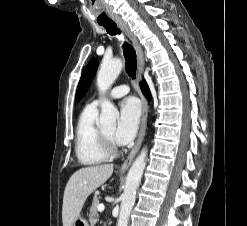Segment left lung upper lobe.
<instances>
[{"mask_svg":"<svg viewBox=\"0 0 247 226\" xmlns=\"http://www.w3.org/2000/svg\"><path fill=\"white\" fill-rule=\"evenodd\" d=\"M98 67V60L97 59H92L88 65L86 66V68L84 69L78 87H77V91H76V96L75 99L77 101L81 100V98L85 95V93L87 92L93 77L96 73Z\"/></svg>","mask_w":247,"mask_h":226,"instance_id":"left-lung-upper-lobe-1","label":"left lung upper lobe"}]
</instances>
